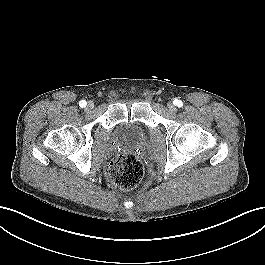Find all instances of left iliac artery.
Masks as SVG:
<instances>
[{"instance_id":"44dca946","label":"left iliac artery","mask_w":265,"mask_h":265,"mask_svg":"<svg viewBox=\"0 0 265 265\" xmlns=\"http://www.w3.org/2000/svg\"><path fill=\"white\" fill-rule=\"evenodd\" d=\"M182 101H180V100H176L175 101V105H177L178 107H181L182 106Z\"/></svg>"}]
</instances>
